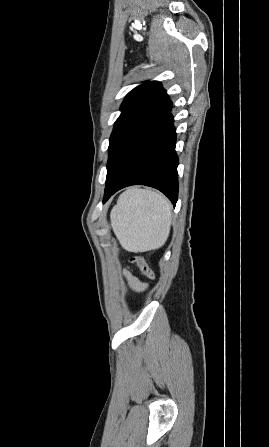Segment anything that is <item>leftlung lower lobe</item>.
<instances>
[{"instance_id":"left-lung-lower-lobe-1","label":"left lung lower lobe","mask_w":269,"mask_h":447,"mask_svg":"<svg viewBox=\"0 0 269 447\" xmlns=\"http://www.w3.org/2000/svg\"><path fill=\"white\" fill-rule=\"evenodd\" d=\"M169 112L134 148L121 169L105 186L106 202L118 190L130 185H146L163 192L175 206L178 198V156L176 133Z\"/></svg>"}]
</instances>
